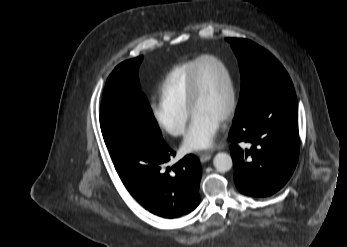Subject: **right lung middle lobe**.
Instances as JSON below:
<instances>
[{"label": "right lung middle lobe", "mask_w": 347, "mask_h": 247, "mask_svg": "<svg viewBox=\"0 0 347 247\" xmlns=\"http://www.w3.org/2000/svg\"><path fill=\"white\" fill-rule=\"evenodd\" d=\"M143 56L119 64L103 93L100 127L104 140L121 128L134 127L153 140L162 138L150 105L140 92L137 70Z\"/></svg>", "instance_id": "obj_1"}]
</instances>
